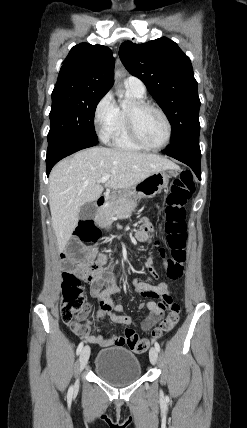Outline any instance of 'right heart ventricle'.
Masks as SVG:
<instances>
[{
	"label": "right heart ventricle",
	"instance_id": "e07e8e85",
	"mask_svg": "<svg viewBox=\"0 0 247 428\" xmlns=\"http://www.w3.org/2000/svg\"><path fill=\"white\" fill-rule=\"evenodd\" d=\"M131 97L137 100H143L145 95L139 94L133 90L127 89ZM112 145L116 148L130 151H138L144 148L137 145L130 137L126 124V108L117 107V121L114 132L111 137Z\"/></svg>",
	"mask_w": 247,
	"mask_h": 428
}]
</instances>
